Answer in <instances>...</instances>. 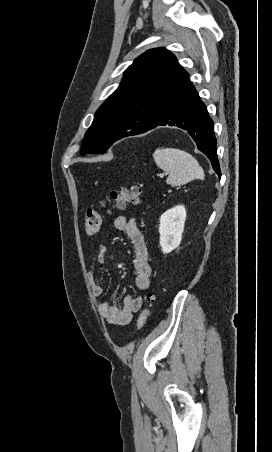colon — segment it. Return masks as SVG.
I'll list each match as a JSON object with an SVG mask.
<instances>
[{
    "label": "colon",
    "mask_w": 272,
    "mask_h": 452,
    "mask_svg": "<svg viewBox=\"0 0 272 452\" xmlns=\"http://www.w3.org/2000/svg\"><path fill=\"white\" fill-rule=\"evenodd\" d=\"M141 188L138 185H132L128 188H120L112 191L96 208H90L85 218V230L88 234H96L101 227L102 219L105 213H110L116 209H123L128 204H137L141 198ZM155 295H147V305L142 309L137 320V328L141 330L146 324L150 315V305L154 302Z\"/></svg>",
    "instance_id": "colon-1"
}]
</instances>
